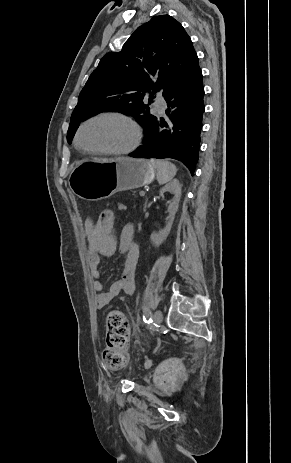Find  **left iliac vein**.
<instances>
[{
  "label": "left iliac vein",
  "mask_w": 291,
  "mask_h": 463,
  "mask_svg": "<svg viewBox=\"0 0 291 463\" xmlns=\"http://www.w3.org/2000/svg\"><path fill=\"white\" fill-rule=\"evenodd\" d=\"M153 320L154 322L159 325L162 320H163V315H162V312L160 310H156L153 314Z\"/></svg>",
  "instance_id": "1"
}]
</instances>
